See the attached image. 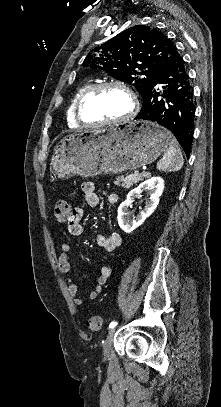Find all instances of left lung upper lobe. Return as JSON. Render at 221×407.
Returning <instances> with one entry per match:
<instances>
[{
  "mask_svg": "<svg viewBox=\"0 0 221 407\" xmlns=\"http://www.w3.org/2000/svg\"><path fill=\"white\" fill-rule=\"evenodd\" d=\"M172 46L157 29L136 25L91 50L83 66L133 84L143 96L153 76L169 59Z\"/></svg>",
  "mask_w": 221,
  "mask_h": 407,
  "instance_id": "1",
  "label": "left lung upper lobe"
}]
</instances>
